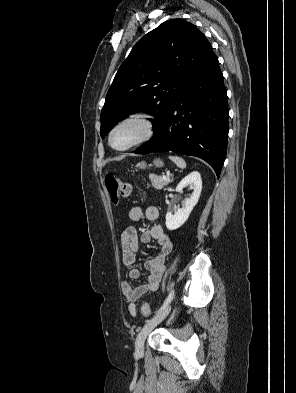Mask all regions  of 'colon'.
Here are the masks:
<instances>
[{
  "label": "colon",
  "instance_id": "colon-1",
  "mask_svg": "<svg viewBox=\"0 0 296 393\" xmlns=\"http://www.w3.org/2000/svg\"><path fill=\"white\" fill-rule=\"evenodd\" d=\"M104 184L114 204L118 203L120 197H129L131 194V185L118 180L112 174H107L104 177ZM141 313L144 318L150 317L151 308L148 303L142 304Z\"/></svg>",
  "mask_w": 296,
  "mask_h": 393
}]
</instances>
